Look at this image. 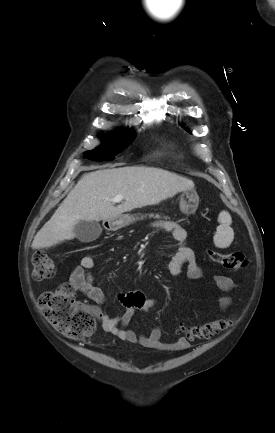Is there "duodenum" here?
Masks as SVG:
<instances>
[{"mask_svg":"<svg viewBox=\"0 0 275 433\" xmlns=\"http://www.w3.org/2000/svg\"><path fill=\"white\" fill-rule=\"evenodd\" d=\"M110 225H111V222H110V221H108V222H107V226H109V227H110Z\"/></svg>","mask_w":275,"mask_h":433,"instance_id":"1","label":"duodenum"}]
</instances>
